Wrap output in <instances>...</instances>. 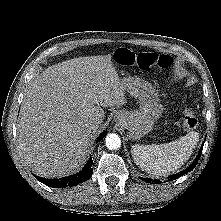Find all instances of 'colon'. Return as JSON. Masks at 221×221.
Listing matches in <instances>:
<instances>
[{
	"instance_id": "1",
	"label": "colon",
	"mask_w": 221,
	"mask_h": 221,
	"mask_svg": "<svg viewBox=\"0 0 221 221\" xmlns=\"http://www.w3.org/2000/svg\"><path fill=\"white\" fill-rule=\"evenodd\" d=\"M115 59L122 65L137 67L145 71L153 67L168 68L172 63V59L168 55H157L151 52L135 53L126 48L116 50ZM182 124L188 130L197 126V118L191 108H185L183 111Z\"/></svg>"
}]
</instances>
